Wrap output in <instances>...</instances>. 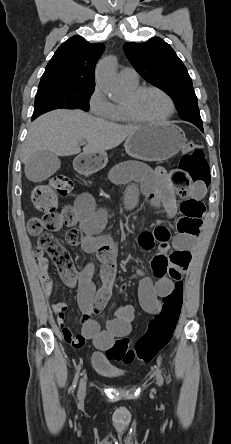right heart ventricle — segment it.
I'll use <instances>...</instances> for the list:
<instances>
[{
    "label": "right heart ventricle",
    "instance_id": "right-heart-ventricle-1",
    "mask_svg": "<svg viewBox=\"0 0 231 444\" xmlns=\"http://www.w3.org/2000/svg\"><path fill=\"white\" fill-rule=\"evenodd\" d=\"M125 87L128 89V91H132L138 87V83H123ZM112 121L120 122V123H129L131 122L128 118L125 109H124V103H117L114 104L113 112L111 117L109 118Z\"/></svg>",
    "mask_w": 231,
    "mask_h": 444
}]
</instances>
